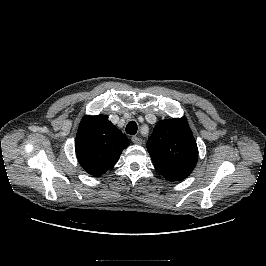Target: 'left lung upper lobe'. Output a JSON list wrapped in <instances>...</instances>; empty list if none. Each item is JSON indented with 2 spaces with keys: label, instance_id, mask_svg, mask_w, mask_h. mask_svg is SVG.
Returning <instances> with one entry per match:
<instances>
[{
  "label": "left lung upper lobe",
  "instance_id": "left-lung-upper-lobe-1",
  "mask_svg": "<svg viewBox=\"0 0 266 266\" xmlns=\"http://www.w3.org/2000/svg\"><path fill=\"white\" fill-rule=\"evenodd\" d=\"M147 149L154 167L167 180L187 178L198 160L197 144L185 118L160 120Z\"/></svg>",
  "mask_w": 266,
  "mask_h": 266
}]
</instances>
